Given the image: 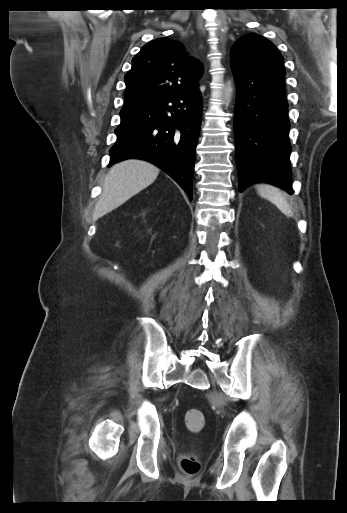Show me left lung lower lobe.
Listing matches in <instances>:
<instances>
[{"label":"left lung lower lobe","instance_id":"obj_1","mask_svg":"<svg viewBox=\"0 0 347 513\" xmlns=\"http://www.w3.org/2000/svg\"><path fill=\"white\" fill-rule=\"evenodd\" d=\"M231 70L237 84L234 131L239 191L267 182L293 194L285 75L252 73L235 66Z\"/></svg>","mask_w":347,"mask_h":513}]
</instances>
